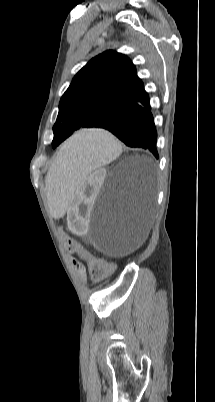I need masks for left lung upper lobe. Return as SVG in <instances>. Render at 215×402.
I'll return each instance as SVG.
<instances>
[{"label": "left lung upper lobe", "instance_id": "left-lung-upper-lobe-1", "mask_svg": "<svg viewBox=\"0 0 215 402\" xmlns=\"http://www.w3.org/2000/svg\"><path fill=\"white\" fill-rule=\"evenodd\" d=\"M131 60L116 51L91 59L73 78L53 126L55 148L80 128L96 127L143 90Z\"/></svg>", "mask_w": 215, "mask_h": 402}]
</instances>
